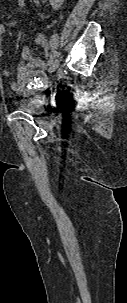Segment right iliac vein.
<instances>
[{
	"mask_svg": "<svg viewBox=\"0 0 127 303\" xmlns=\"http://www.w3.org/2000/svg\"><path fill=\"white\" fill-rule=\"evenodd\" d=\"M58 66H59V62H58V60L56 59V60H54V61L49 65L48 71H49L50 73H52V72H54V71L58 68Z\"/></svg>",
	"mask_w": 127,
	"mask_h": 303,
	"instance_id": "63e3f726",
	"label": "right iliac vein"
}]
</instances>
